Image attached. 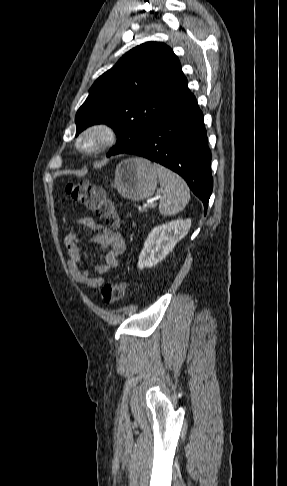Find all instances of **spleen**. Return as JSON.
<instances>
[{"mask_svg":"<svg viewBox=\"0 0 287 486\" xmlns=\"http://www.w3.org/2000/svg\"><path fill=\"white\" fill-rule=\"evenodd\" d=\"M158 173L160 186L164 189L160 198L159 212L172 216L182 211L189 202L190 192L186 182L171 170L154 164Z\"/></svg>","mask_w":287,"mask_h":486,"instance_id":"3e777b00","label":"spleen"}]
</instances>
